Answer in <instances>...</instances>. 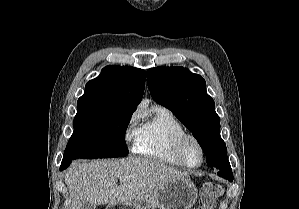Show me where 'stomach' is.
I'll return each mask as SVG.
<instances>
[{"mask_svg":"<svg viewBox=\"0 0 299 209\" xmlns=\"http://www.w3.org/2000/svg\"><path fill=\"white\" fill-rule=\"evenodd\" d=\"M198 191L189 177L168 181L132 202L121 203L119 209H191ZM109 205L107 209H115Z\"/></svg>","mask_w":299,"mask_h":209,"instance_id":"1","label":"stomach"}]
</instances>
